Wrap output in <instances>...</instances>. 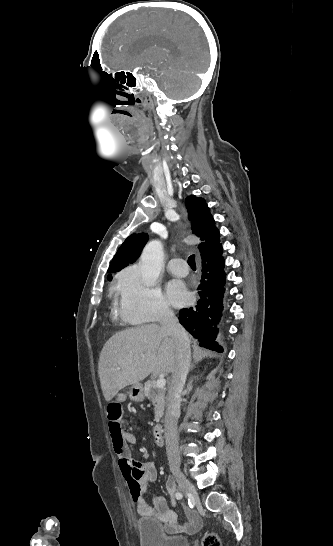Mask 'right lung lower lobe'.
<instances>
[{
    "label": "right lung lower lobe",
    "mask_w": 333,
    "mask_h": 546,
    "mask_svg": "<svg viewBox=\"0 0 333 546\" xmlns=\"http://www.w3.org/2000/svg\"><path fill=\"white\" fill-rule=\"evenodd\" d=\"M222 252L220 244L208 257H202V276L198 287L200 299L196 306L179 312L180 323L200 342V346L219 352L223 349L214 340L222 316L225 291Z\"/></svg>",
    "instance_id": "right-lung-lower-lobe-1"
}]
</instances>
